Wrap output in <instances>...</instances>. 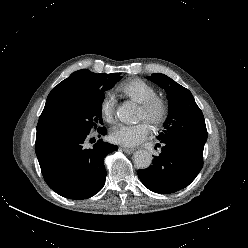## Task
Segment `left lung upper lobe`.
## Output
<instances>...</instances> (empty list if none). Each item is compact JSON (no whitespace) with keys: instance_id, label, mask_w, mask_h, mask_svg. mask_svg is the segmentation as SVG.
I'll list each match as a JSON object with an SVG mask.
<instances>
[{"instance_id":"1","label":"left lung upper lobe","mask_w":248,"mask_h":248,"mask_svg":"<svg viewBox=\"0 0 248 248\" xmlns=\"http://www.w3.org/2000/svg\"><path fill=\"white\" fill-rule=\"evenodd\" d=\"M148 79L165 90L169 101L168 118L158 139L161 142L169 139L182 140L203 149L207 129L202 111L191 92L161 73L152 74Z\"/></svg>"}]
</instances>
